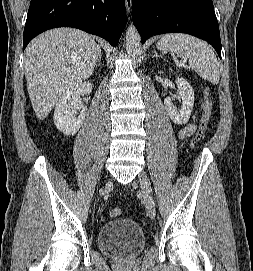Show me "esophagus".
<instances>
[{
	"instance_id": "1",
	"label": "esophagus",
	"mask_w": 253,
	"mask_h": 271,
	"mask_svg": "<svg viewBox=\"0 0 253 271\" xmlns=\"http://www.w3.org/2000/svg\"><path fill=\"white\" fill-rule=\"evenodd\" d=\"M126 11L129 14L131 12L132 0H125Z\"/></svg>"
}]
</instances>
